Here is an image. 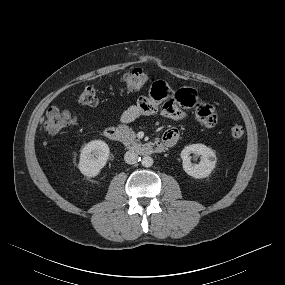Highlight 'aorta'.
Wrapping results in <instances>:
<instances>
[{
  "label": "aorta",
  "instance_id": "762f6f07",
  "mask_svg": "<svg viewBox=\"0 0 285 285\" xmlns=\"http://www.w3.org/2000/svg\"><path fill=\"white\" fill-rule=\"evenodd\" d=\"M141 164L144 167H151L153 165V159L150 156H144L141 160Z\"/></svg>",
  "mask_w": 285,
  "mask_h": 285
}]
</instances>
